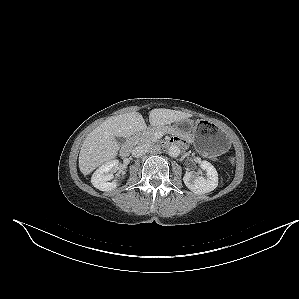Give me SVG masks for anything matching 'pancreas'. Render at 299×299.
I'll use <instances>...</instances> for the list:
<instances>
[{"label":"pancreas","mask_w":299,"mask_h":299,"mask_svg":"<svg viewBox=\"0 0 299 299\" xmlns=\"http://www.w3.org/2000/svg\"><path fill=\"white\" fill-rule=\"evenodd\" d=\"M167 131H169V128L164 126L149 128L136 134L135 141L139 144H151L158 141V133Z\"/></svg>","instance_id":"obj_1"}]
</instances>
